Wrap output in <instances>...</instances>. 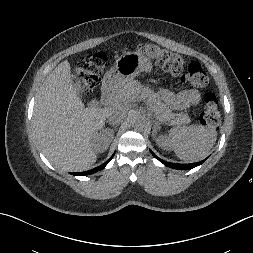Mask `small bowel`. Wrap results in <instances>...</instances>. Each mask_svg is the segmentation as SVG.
<instances>
[{
    "label": "small bowel",
    "mask_w": 253,
    "mask_h": 253,
    "mask_svg": "<svg viewBox=\"0 0 253 253\" xmlns=\"http://www.w3.org/2000/svg\"><path fill=\"white\" fill-rule=\"evenodd\" d=\"M160 94L169 107L178 110L195 106L200 101V94L194 89L183 90L178 93H173L167 89H162Z\"/></svg>",
    "instance_id": "small-bowel-1"
}]
</instances>
